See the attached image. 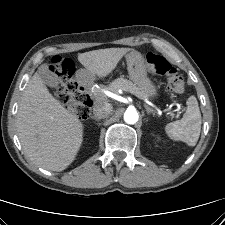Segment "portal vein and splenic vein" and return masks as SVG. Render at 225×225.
<instances>
[{
	"mask_svg": "<svg viewBox=\"0 0 225 225\" xmlns=\"http://www.w3.org/2000/svg\"><path fill=\"white\" fill-rule=\"evenodd\" d=\"M170 116H171L172 118H173V117H178L179 114H177L176 116H175V114H171Z\"/></svg>",
	"mask_w": 225,
	"mask_h": 225,
	"instance_id": "1",
	"label": "portal vein and splenic vein"
}]
</instances>
